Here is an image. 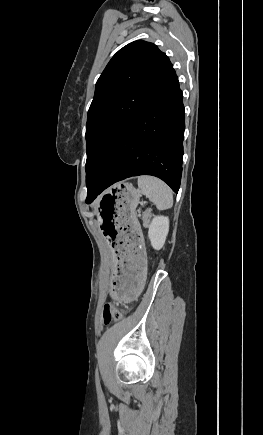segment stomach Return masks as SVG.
I'll return each instance as SVG.
<instances>
[{
  "label": "stomach",
  "mask_w": 263,
  "mask_h": 435,
  "mask_svg": "<svg viewBox=\"0 0 263 435\" xmlns=\"http://www.w3.org/2000/svg\"><path fill=\"white\" fill-rule=\"evenodd\" d=\"M139 192L129 182H119L100 197L99 233L111 247L114 277L110 280L116 305H131L149 280L145 274L146 239L137 216Z\"/></svg>",
  "instance_id": "0dacf381"
}]
</instances>
